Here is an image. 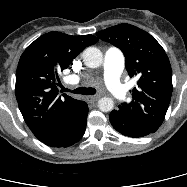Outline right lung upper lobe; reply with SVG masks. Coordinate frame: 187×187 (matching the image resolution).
I'll list each match as a JSON object with an SVG mask.
<instances>
[{"label":"right lung upper lobe","instance_id":"1","mask_svg":"<svg viewBox=\"0 0 187 187\" xmlns=\"http://www.w3.org/2000/svg\"><path fill=\"white\" fill-rule=\"evenodd\" d=\"M97 41L93 35L49 32L32 42L21 55L15 93L22 116L37 139H46L64 125L83 102L67 94L59 95L58 74Z\"/></svg>","mask_w":187,"mask_h":187}]
</instances>
